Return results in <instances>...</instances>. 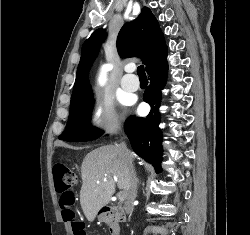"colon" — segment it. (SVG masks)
<instances>
[{
	"instance_id": "obj_1",
	"label": "colon",
	"mask_w": 250,
	"mask_h": 235,
	"mask_svg": "<svg viewBox=\"0 0 250 235\" xmlns=\"http://www.w3.org/2000/svg\"><path fill=\"white\" fill-rule=\"evenodd\" d=\"M56 190L60 193L59 203L63 219L71 225L73 235H87L84 223L74 210L75 196L71 189L78 183L77 173L69 166L58 163L53 169Z\"/></svg>"
}]
</instances>
